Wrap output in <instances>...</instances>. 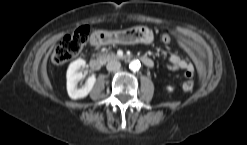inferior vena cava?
Instances as JSON below:
<instances>
[{
    "label": "inferior vena cava",
    "mask_w": 247,
    "mask_h": 145,
    "mask_svg": "<svg viewBox=\"0 0 247 145\" xmlns=\"http://www.w3.org/2000/svg\"><path fill=\"white\" fill-rule=\"evenodd\" d=\"M121 67V63L117 60H111L110 62L107 63V70L108 71H117Z\"/></svg>",
    "instance_id": "inferior-vena-cava-1"
}]
</instances>
